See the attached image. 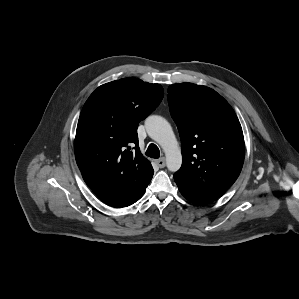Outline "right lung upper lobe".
<instances>
[{
	"instance_id": "1",
	"label": "right lung upper lobe",
	"mask_w": 299,
	"mask_h": 299,
	"mask_svg": "<svg viewBox=\"0 0 299 299\" xmlns=\"http://www.w3.org/2000/svg\"><path fill=\"white\" fill-rule=\"evenodd\" d=\"M161 85L123 78L98 87L81 111L74 152L83 179L104 200L130 196L153 176L141 154L137 128L160 104ZM135 144V152L129 151Z\"/></svg>"
}]
</instances>
